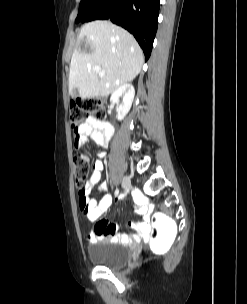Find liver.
Wrapping results in <instances>:
<instances>
[{"mask_svg":"<svg viewBox=\"0 0 247 304\" xmlns=\"http://www.w3.org/2000/svg\"><path fill=\"white\" fill-rule=\"evenodd\" d=\"M144 55L135 38L109 21L85 24L78 35L69 71V93L79 97L108 96L119 86L131 82L141 71ZM100 66L105 76L94 70Z\"/></svg>","mask_w":247,"mask_h":304,"instance_id":"1","label":"liver"}]
</instances>
